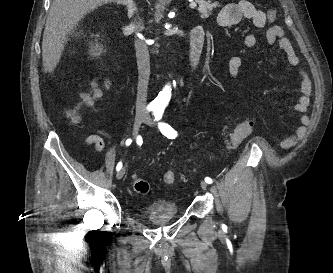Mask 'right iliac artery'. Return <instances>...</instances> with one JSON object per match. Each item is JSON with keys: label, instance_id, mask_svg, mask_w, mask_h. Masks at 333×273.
<instances>
[{"label": "right iliac artery", "instance_id": "obj_1", "mask_svg": "<svg viewBox=\"0 0 333 273\" xmlns=\"http://www.w3.org/2000/svg\"><path fill=\"white\" fill-rule=\"evenodd\" d=\"M147 110H148V111H152L153 108H152V107H148ZM131 142H132V140H131L130 138L127 139V140H126V143H125L126 146H129V145L131 144ZM121 168H122V162H119V163L117 164V166H116V170L119 171Z\"/></svg>", "mask_w": 333, "mask_h": 273}]
</instances>
